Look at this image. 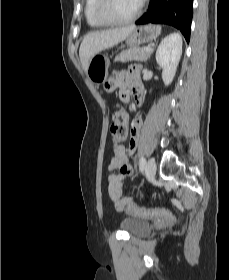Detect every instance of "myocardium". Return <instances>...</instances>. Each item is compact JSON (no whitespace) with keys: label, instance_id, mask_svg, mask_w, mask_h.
Segmentation results:
<instances>
[{"label":"myocardium","instance_id":"myocardium-1","mask_svg":"<svg viewBox=\"0 0 229 280\" xmlns=\"http://www.w3.org/2000/svg\"><path fill=\"white\" fill-rule=\"evenodd\" d=\"M147 0H144L130 17L127 18H114L108 15L107 9L110 3V0H98L96 9H95V17L103 25L106 26H116V25H125L132 23L135 21L142 13L144 8V4Z\"/></svg>","mask_w":229,"mask_h":280}]
</instances>
